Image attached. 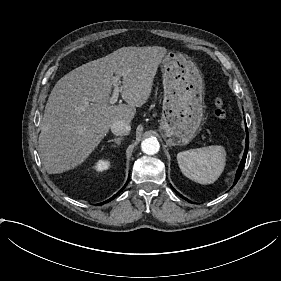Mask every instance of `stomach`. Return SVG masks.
<instances>
[{
    "instance_id": "1",
    "label": "stomach",
    "mask_w": 281,
    "mask_h": 281,
    "mask_svg": "<svg viewBox=\"0 0 281 281\" xmlns=\"http://www.w3.org/2000/svg\"><path fill=\"white\" fill-rule=\"evenodd\" d=\"M164 99L160 131L169 146L189 144L204 120V81L196 64L177 51L162 60Z\"/></svg>"
}]
</instances>
